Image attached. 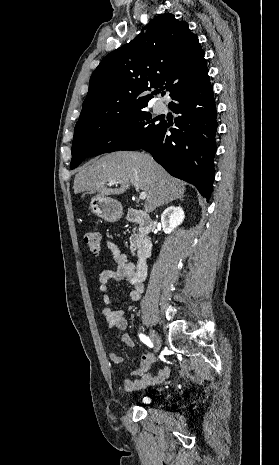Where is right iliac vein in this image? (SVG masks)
<instances>
[{"mask_svg":"<svg viewBox=\"0 0 279 465\" xmlns=\"http://www.w3.org/2000/svg\"><path fill=\"white\" fill-rule=\"evenodd\" d=\"M150 337L156 347V350H160L161 348V339L159 337V335L154 331V330H150Z\"/></svg>","mask_w":279,"mask_h":465,"instance_id":"obj_1","label":"right iliac vein"}]
</instances>
